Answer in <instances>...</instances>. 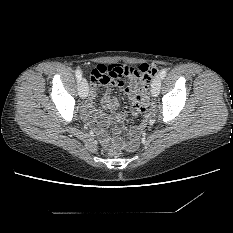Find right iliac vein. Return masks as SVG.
Wrapping results in <instances>:
<instances>
[{
	"instance_id": "63e3f726",
	"label": "right iliac vein",
	"mask_w": 233,
	"mask_h": 233,
	"mask_svg": "<svg viewBox=\"0 0 233 233\" xmlns=\"http://www.w3.org/2000/svg\"><path fill=\"white\" fill-rule=\"evenodd\" d=\"M79 94L81 98H86L88 95V83L85 79H82V81L79 84Z\"/></svg>"
}]
</instances>
